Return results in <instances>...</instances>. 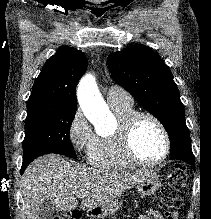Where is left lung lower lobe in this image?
Wrapping results in <instances>:
<instances>
[{
  "label": "left lung lower lobe",
  "mask_w": 211,
  "mask_h": 219,
  "mask_svg": "<svg viewBox=\"0 0 211 219\" xmlns=\"http://www.w3.org/2000/svg\"><path fill=\"white\" fill-rule=\"evenodd\" d=\"M170 159L185 161L189 163L193 169H195V158L192 153L191 145H185L178 148L176 152L171 154Z\"/></svg>",
  "instance_id": "left-lung-lower-lobe-1"
}]
</instances>
